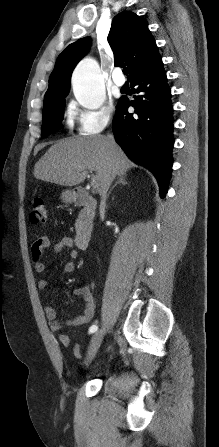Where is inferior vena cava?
I'll list each match as a JSON object with an SVG mask.
<instances>
[{"instance_id": "obj_1", "label": "inferior vena cava", "mask_w": 219, "mask_h": 447, "mask_svg": "<svg viewBox=\"0 0 219 447\" xmlns=\"http://www.w3.org/2000/svg\"><path fill=\"white\" fill-rule=\"evenodd\" d=\"M110 140L114 141L113 136L109 135L108 136ZM116 173L113 171L106 179L105 182V186L103 187L102 193H101V203L104 204L105 200H106V196H107V191L109 189V186L111 184V182L113 181V179L115 178Z\"/></svg>"}]
</instances>
